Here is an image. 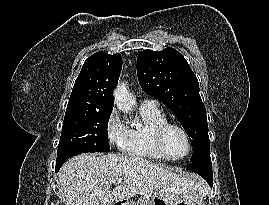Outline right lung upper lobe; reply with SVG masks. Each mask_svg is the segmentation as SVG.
I'll use <instances>...</instances> for the list:
<instances>
[{"instance_id": "cb5924a9", "label": "right lung upper lobe", "mask_w": 269, "mask_h": 205, "mask_svg": "<svg viewBox=\"0 0 269 205\" xmlns=\"http://www.w3.org/2000/svg\"><path fill=\"white\" fill-rule=\"evenodd\" d=\"M122 69L120 54L97 52L84 62L67 105L95 110L113 109V89Z\"/></svg>"}]
</instances>
